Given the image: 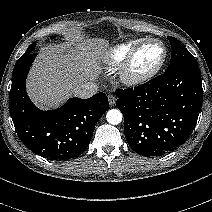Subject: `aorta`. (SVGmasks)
I'll return each mask as SVG.
<instances>
[{
    "label": "aorta",
    "instance_id": "aorta-1",
    "mask_svg": "<svg viewBox=\"0 0 212 212\" xmlns=\"http://www.w3.org/2000/svg\"><path fill=\"white\" fill-rule=\"evenodd\" d=\"M122 113L118 109H111L106 114V119L108 123L112 125H117L122 121Z\"/></svg>",
    "mask_w": 212,
    "mask_h": 212
}]
</instances>
